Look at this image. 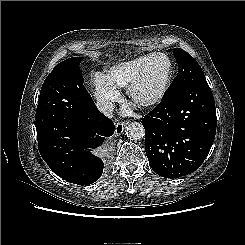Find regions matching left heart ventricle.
<instances>
[{
    "instance_id": "left-heart-ventricle-1",
    "label": "left heart ventricle",
    "mask_w": 245,
    "mask_h": 245,
    "mask_svg": "<svg viewBox=\"0 0 245 245\" xmlns=\"http://www.w3.org/2000/svg\"><path fill=\"white\" fill-rule=\"evenodd\" d=\"M167 70V61L163 57H154L150 60L143 84L138 91L140 99H148L156 94L164 79Z\"/></svg>"
}]
</instances>
